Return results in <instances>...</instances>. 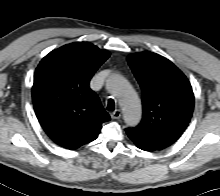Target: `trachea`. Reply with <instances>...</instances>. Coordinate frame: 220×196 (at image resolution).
<instances>
[{
    "label": "trachea",
    "mask_w": 220,
    "mask_h": 196,
    "mask_svg": "<svg viewBox=\"0 0 220 196\" xmlns=\"http://www.w3.org/2000/svg\"><path fill=\"white\" fill-rule=\"evenodd\" d=\"M107 110L108 111H114L115 110V102H114L113 99L108 100Z\"/></svg>",
    "instance_id": "obj_1"
}]
</instances>
